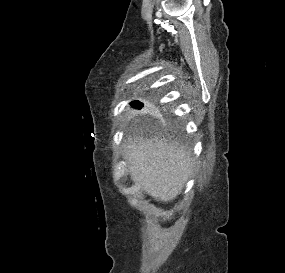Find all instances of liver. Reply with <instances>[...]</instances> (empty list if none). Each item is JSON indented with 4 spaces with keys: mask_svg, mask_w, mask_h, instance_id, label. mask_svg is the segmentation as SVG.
<instances>
[{
    "mask_svg": "<svg viewBox=\"0 0 285 273\" xmlns=\"http://www.w3.org/2000/svg\"><path fill=\"white\" fill-rule=\"evenodd\" d=\"M124 158L131 179L162 202L181 193L192 170V159L183 146L158 138H131L126 143Z\"/></svg>",
    "mask_w": 285,
    "mask_h": 273,
    "instance_id": "6515ba94",
    "label": "liver"
}]
</instances>
